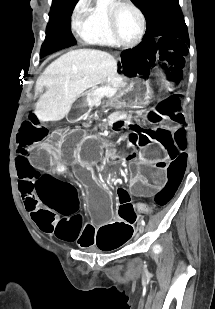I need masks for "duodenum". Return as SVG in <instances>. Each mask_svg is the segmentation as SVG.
Wrapping results in <instances>:
<instances>
[{
  "label": "duodenum",
  "instance_id": "duodenum-1",
  "mask_svg": "<svg viewBox=\"0 0 215 309\" xmlns=\"http://www.w3.org/2000/svg\"><path fill=\"white\" fill-rule=\"evenodd\" d=\"M110 120L117 127H122L126 123L119 115H116V114L112 115L110 117Z\"/></svg>",
  "mask_w": 215,
  "mask_h": 309
}]
</instances>
